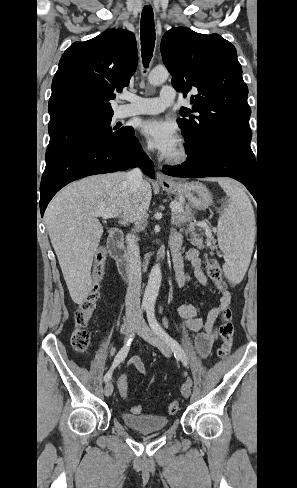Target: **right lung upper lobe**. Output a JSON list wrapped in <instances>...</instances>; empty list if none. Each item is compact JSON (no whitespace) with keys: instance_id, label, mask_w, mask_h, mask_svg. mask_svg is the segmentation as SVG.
<instances>
[{"instance_id":"right-lung-upper-lobe-1","label":"right lung upper lobe","mask_w":297,"mask_h":488,"mask_svg":"<svg viewBox=\"0 0 297 488\" xmlns=\"http://www.w3.org/2000/svg\"><path fill=\"white\" fill-rule=\"evenodd\" d=\"M137 63L135 36L125 30L73 43L62 55L52 81L49 133L113 116L109 100L129 84Z\"/></svg>"}]
</instances>
